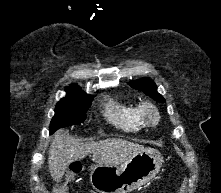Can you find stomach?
I'll return each instance as SVG.
<instances>
[{"label": "stomach", "instance_id": "obj_1", "mask_svg": "<svg viewBox=\"0 0 221 193\" xmlns=\"http://www.w3.org/2000/svg\"><path fill=\"white\" fill-rule=\"evenodd\" d=\"M162 163L158 150L144 149L118 166H92L90 182L99 193H129L148 183Z\"/></svg>", "mask_w": 221, "mask_h": 193}]
</instances>
